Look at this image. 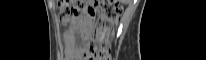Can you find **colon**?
<instances>
[{"instance_id": "1", "label": "colon", "mask_w": 206, "mask_h": 60, "mask_svg": "<svg viewBox=\"0 0 206 60\" xmlns=\"http://www.w3.org/2000/svg\"><path fill=\"white\" fill-rule=\"evenodd\" d=\"M59 18L63 24L71 25L82 13L84 5L77 0H64L59 2ZM99 13L100 19L95 28L93 39L84 49V56L89 60H110L111 40L116 29L121 7L113 0H100L95 7H90L88 13Z\"/></svg>"}]
</instances>
